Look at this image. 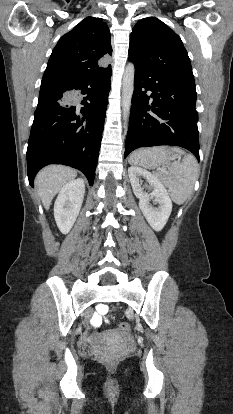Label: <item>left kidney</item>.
Returning <instances> with one entry per match:
<instances>
[{"label": "left kidney", "instance_id": "1", "mask_svg": "<svg viewBox=\"0 0 233 414\" xmlns=\"http://www.w3.org/2000/svg\"><path fill=\"white\" fill-rule=\"evenodd\" d=\"M128 174L133 192L139 198L140 210L150 226L155 231H161L172 211V201L167 190L158 178L145 169L131 166L128 168ZM140 177L146 178L150 193L144 192ZM150 199H154L158 207H153L149 202Z\"/></svg>", "mask_w": 233, "mask_h": 414}]
</instances>
